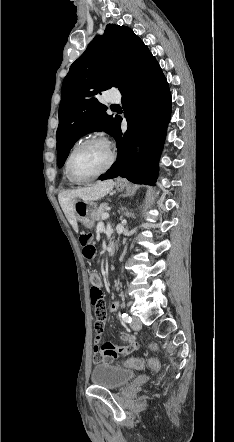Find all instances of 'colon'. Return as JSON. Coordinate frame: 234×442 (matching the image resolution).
Returning a JSON list of instances; mask_svg holds the SVG:
<instances>
[{
    "mask_svg": "<svg viewBox=\"0 0 234 442\" xmlns=\"http://www.w3.org/2000/svg\"><path fill=\"white\" fill-rule=\"evenodd\" d=\"M91 236L89 234H82L79 238L81 245L83 246V255L87 260H93L96 256V248L94 245L90 243ZM99 275L97 272H92L90 274V283L91 287V303L94 308L95 315L97 317L98 314H107V304L104 299L103 293L101 289L97 286L99 282ZM95 329V328H94ZM127 344V342H126ZM126 345L124 346V348ZM153 349L158 350L156 346H152ZM136 351V350H134ZM126 365L124 368L128 371H135L137 368H142L143 363L137 356H130L127 359ZM147 367L152 371H158L159 369V359L156 356H149L146 359ZM159 383L164 384L167 381L166 376L161 375L158 378Z\"/></svg>",
    "mask_w": 234,
    "mask_h": 442,
    "instance_id": "5ec220e1",
    "label": "colon"
}]
</instances>
